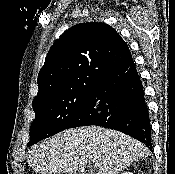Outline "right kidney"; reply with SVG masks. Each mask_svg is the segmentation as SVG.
Wrapping results in <instances>:
<instances>
[{
	"mask_svg": "<svg viewBox=\"0 0 175 174\" xmlns=\"http://www.w3.org/2000/svg\"><path fill=\"white\" fill-rule=\"evenodd\" d=\"M121 174H133L132 172H123Z\"/></svg>",
	"mask_w": 175,
	"mask_h": 174,
	"instance_id": "right-kidney-1",
	"label": "right kidney"
}]
</instances>
